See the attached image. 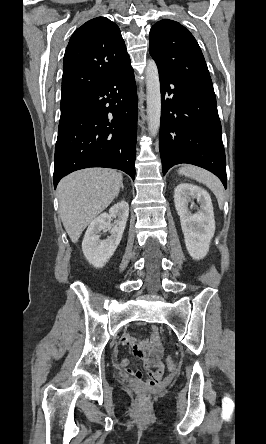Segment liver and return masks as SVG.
I'll use <instances>...</instances> for the list:
<instances>
[{
    "label": "liver",
    "mask_w": 266,
    "mask_h": 444,
    "mask_svg": "<svg viewBox=\"0 0 266 444\" xmlns=\"http://www.w3.org/2000/svg\"><path fill=\"white\" fill-rule=\"evenodd\" d=\"M122 174L111 169L89 168L64 177L57 187L60 217L71 241L119 194Z\"/></svg>",
    "instance_id": "obj_1"
}]
</instances>
